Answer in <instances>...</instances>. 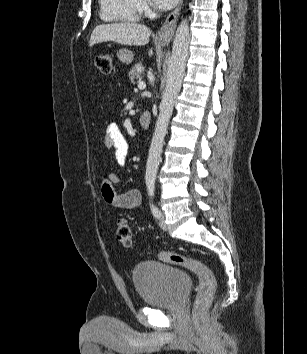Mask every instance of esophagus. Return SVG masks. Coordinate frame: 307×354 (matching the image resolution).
<instances>
[{"instance_id":"34e87169","label":"esophagus","mask_w":307,"mask_h":354,"mask_svg":"<svg viewBox=\"0 0 307 354\" xmlns=\"http://www.w3.org/2000/svg\"><path fill=\"white\" fill-rule=\"evenodd\" d=\"M183 5V0H180L178 6L174 11H172L160 30L156 34V38L159 40L168 41L171 40L174 35V30L176 28L177 18Z\"/></svg>"}]
</instances>
